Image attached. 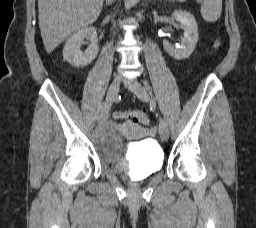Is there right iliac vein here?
Wrapping results in <instances>:
<instances>
[{"label": "right iliac vein", "instance_id": "right-iliac-vein-1", "mask_svg": "<svg viewBox=\"0 0 256 228\" xmlns=\"http://www.w3.org/2000/svg\"><path fill=\"white\" fill-rule=\"evenodd\" d=\"M121 82H122V78L120 76H117L114 78V80L112 81V83L110 84V86L108 88L107 95H106L107 106H106V110L103 113V115L101 117H99V119H98V127L99 128L104 127V125L107 121V109L111 106V104L116 99L118 92H119Z\"/></svg>", "mask_w": 256, "mask_h": 228}]
</instances>
